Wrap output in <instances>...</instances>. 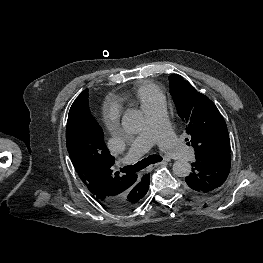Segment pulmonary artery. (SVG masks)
I'll return each instance as SVG.
<instances>
[{"instance_id":"e3ab8cb5","label":"pulmonary artery","mask_w":263,"mask_h":263,"mask_svg":"<svg viewBox=\"0 0 263 263\" xmlns=\"http://www.w3.org/2000/svg\"><path fill=\"white\" fill-rule=\"evenodd\" d=\"M143 111L145 126L131 144L125 159L127 162L138 159L154 144H158L163 151L175 159L190 160L193 157V149L181 143L171 130L163 98L143 106Z\"/></svg>"}]
</instances>
